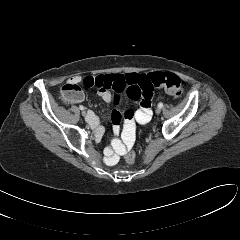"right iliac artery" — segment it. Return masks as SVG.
<instances>
[{
    "instance_id": "82829eb1",
    "label": "right iliac artery",
    "mask_w": 240,
    "mask_h": 240,
    "mask_svg": "<svg viewBox=\"0 0 240 240\" xmlns=\"http://www.w3.org/2000/svg\"><path fill=\"white\" fill-rule=\"evenodd\" d=\"M79 109H80V110H83V109H84V107H83L82 105H80V106H79Z\"/></svg>"
}]
</instances>
